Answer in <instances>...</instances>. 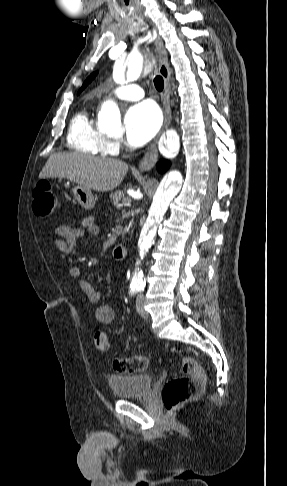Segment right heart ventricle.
<instances>
[{"mask_svg": "<svg viewBox=\"0 0 287 486\" xmlns=\"http://www.w3.org/2000/svg\"><path fill=\"white\" fill-rule=\"evenodd\" d=\"M67 144L74 151L94 156H107L113 153L110 141L99 131L86 109L79 111L72 118Z\"/></svg>", "mask_w": 287, "mask_h": 486, "instance_id": "1", "label": "right heart ventricle"}]
</instances>
